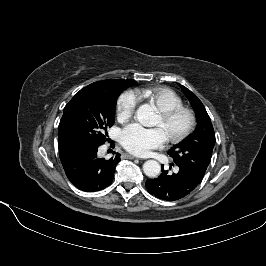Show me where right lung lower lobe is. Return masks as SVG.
<instances>
[{
    "label": "right lung lower lobe",
    "instance_id": "right-lung-lower-lobe-1",
    "mask_svg": "<svg viewBox=\"0 0 266 266\" xmlns=\"http://www.w3.org/2000/svg\"><path fill=\"white\" fill-rule=\"evenodd\" d=\"M102 144H69L59 146V156L68 179L78 189L86 192L108 187L114 178L120 154L108 160L97 157Z\"/></svg>",
    "mask_w": 266,
    "mask_h": 266
}]
</instances>
